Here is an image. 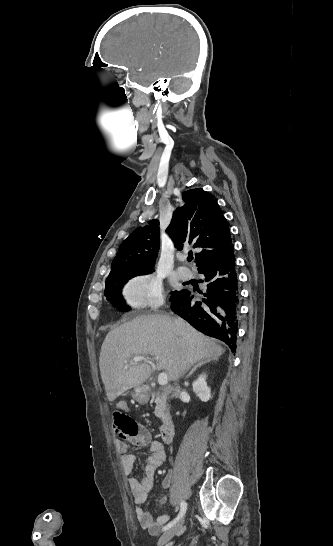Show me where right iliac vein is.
Returning <instances> with one entry per match:
<instances>
[{
  "label": "right iliac vein",
  "instance_id": "1",
  "mask_svg": "<svg viewBox=\"0 0 333 546\" xmlns=\"http://www.w3.org/2000/svg\"><path fill=\"white\" fill-rule=\"evenodd\" d=\"M183 522H184V519H181L178 523H176L174 526H172L167 531H165L160 537V539L158 540V546H163L169 540H171L176 534H181L183 532Z\"/></svg>",
  "mask_w": 333,
  "mask_h": 546
}]
</instances>
